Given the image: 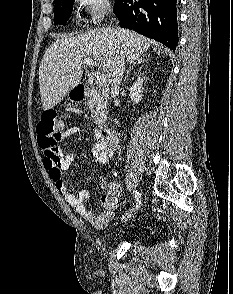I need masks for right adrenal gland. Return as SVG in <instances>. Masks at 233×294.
Masks as SVG:
<instances>
[{
	"mask_svg": "<svg viewBox=\"0 0 233 294\" xmlns=\"http://www.w3.org/2000/svg\"><path fill=\"white\" fill-rule=\"evenodd\" d=\"M145 62V59H142V58H138L133 64L131 67H129V69L127 70L126 74H125V77L123 78V80L125 81L130 73V71L133 69L134 66H136L137 64H140V63H144Z\"/></svg>",
	"mask_w": 233,
	"mask_h": 294,
	"instance_id": "1",
	"label": "right adrenal gland"
}]
</instances>
